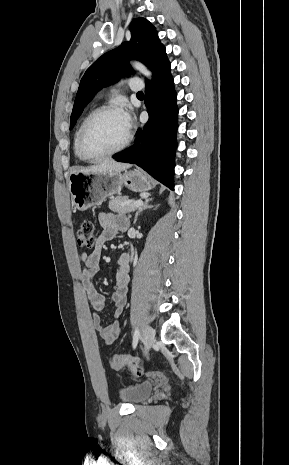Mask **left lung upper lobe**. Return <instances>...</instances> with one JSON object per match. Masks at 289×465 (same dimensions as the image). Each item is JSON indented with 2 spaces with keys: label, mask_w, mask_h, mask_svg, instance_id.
<instances>
[{
  "label": "left lung upper lobe",
  "mask_w": 289,
  "mask_h": 465,
  "mask_svg": "<svg viewBox=\"0 0 289 465\" xmlns=\"http://www.w3.org/2000/svg\"><path fill=\"white\" fill-rule=\"evenodd\" d=\"M130 31L129 42L105 53L86 70L75 98L70 129L93 96L102 87L121 78L122 73L129 67V59H137L149 66L153 72V81L170 72L165 47L161 44L154 26L145 18H135L130 24Z\"/></svg>",
  "instance_id": "1"
}]
</instances>
